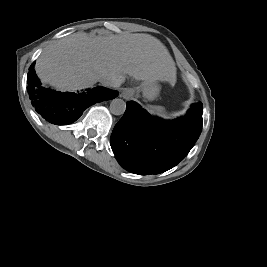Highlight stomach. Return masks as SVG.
Returning a JSON list of instances; mask_svg holds the SVG:
<instances>
[{"mask_svg":"<svg viewBox=\"0 0 267 267\" xmlns=\"http://www.w3.org/2000/svg\"><path fill=\"white\" fill-rule=\"evenodd\" d=\"M160 88L157 82L145 81L134 90L136 93L142 92L143 97L147 100H154L159 95Z\"/></svg>","mask_w":267,"mask_h":267,"instance_id":"0dacf381","label":"stomach"}]
</instances>
